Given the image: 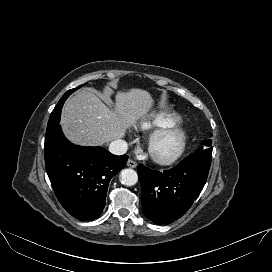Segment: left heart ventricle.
Listing matches in <instances>:
<instances>
[{
    "mask_svg": "<svg viewBox=\"0 0 272 272\" xmlns=\"http://www.w3.org/2000/svg\"><path fill=\"white\" fill-rule=\"evenodd\" d=\"M173 145V142L171 140L167 141L165 144H164V148L165 149H169L171 148Z\"/></svg>",
    "mask_w": 272,
    "mask_h": 272,
    "instance_id": "obj_1",
    "label": "left heart ventricle"
}]
</instances>
